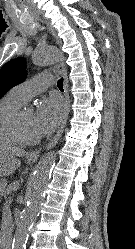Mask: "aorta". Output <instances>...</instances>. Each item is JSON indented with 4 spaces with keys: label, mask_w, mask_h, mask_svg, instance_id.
<instances>
[{
    "label": "aorta",
    "mask_w": 135,
    "mask_h": 249,
    "mask_svg": "<svg viewBox=\"0 0 135 249\" xmlns=\"http://www.w3.org/2000/svg\"><path fill=\"white\" fill-rule=\"evenodd\" d=\"M33 61L38 66L54 65L60 62L61 52L53 46L37 48L33 53ZM56 161L55 151L46 153L38 163L26 189V206L21 213L17 225L12 249H25L30 228L41 209L45 189Z\"/></svg>",
    "instance_id": "obj_1"
}]
</instances>
